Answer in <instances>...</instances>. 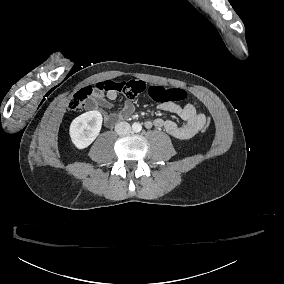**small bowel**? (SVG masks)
<instances>
[{
  "label": "small bowel",
  "mask_w": 284,
  "mask_h": 284,
  "mask_svg": "<svg viewBox=\"0 0 284 284\" xmlns=\"http://www.w3.org/2000/svg\"><path fill=\"white\" fill-rule=\"evenodd\" d=\"M117 93L108 92L106 97L103 95H96L91 101V107L96 109H109L111 107L108 100H115ZM158 108L162 111L170 112L179 116L183 121V125L171 120H163L160 118L148 121L146 127L148 128H163L170 136L178 140H188L195 136L205 124V115L195 108L192 104L179 106L174 103H161ZM135 110L133 101L126 100L123 104L118 116L120 118L129 117ZM105 118H109L108 112L104 113Z\"/></svg>",
  "instance_id": "c3829d8e"
}]
</instances>
